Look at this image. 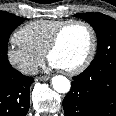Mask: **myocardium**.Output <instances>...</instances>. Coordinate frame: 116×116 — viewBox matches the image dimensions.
Returning <instances> with one entry per match:
<instances>
[{
	"instance_id": "obj_1",
	"label": "myocardium",
	"mask_w": 116,
	"mask_h": 116,
	"mask_svg": "<svg viewBox=\"0 0 116 116\" xmlns=\"http://www.w3.org/2000/svg\"><path fill=\"white\" fill-rule=\"evenodd\" d=\"M72 25L84 26L90 33L91 41H90V48H89V51H88L85 59L74 68L62 70L63 73H65L67 75H76V74H79L82 71H84L93 61L95 54H96V50H97V35H96L95 29L93 28V26L84 20H78V19L77 20H69V21H65L63 24H61L54 32V34L51 38V41L44 52L46 59L50 60V55L58 47L62 34L68 27H70Z\"/></svg>"
}]
</instances>
